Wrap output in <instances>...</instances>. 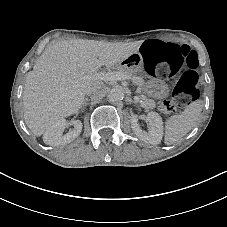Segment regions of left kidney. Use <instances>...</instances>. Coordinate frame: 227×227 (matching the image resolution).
I'll list each match as a JSON object with an SVG mask.
<instances>
[{
  "label": "left kidney",
  "instance_id": "obj_1",
  "mask_svg": "<svg viewBox=\"0 0 227 227\" xmlns=\"http://www.w3.org/2000/svg\"><path fill=\"white\" fill-rule=\"evenodd\" d=\"M146 120L148 121V132L143 131L139 126L136 115L131 117V128L134 134L145 143L157 145L161 142L163 136V121L157 112H149Z\"/></svg>",
  "mask_w": 227,
  "mask_h": 227
}]
</instances>
